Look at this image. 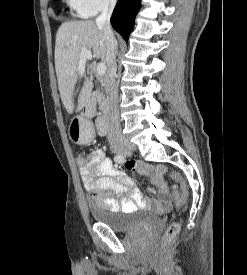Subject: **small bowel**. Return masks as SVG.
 <instances>
[{"mask_svg":"<svg viewBox=\"0 0 247 275\" xmlns=\"http://www.w3.org/2000/svg\"><path fill=\"white\" fill-rule=\"evenodd\" d=\"M137 173L148 175L149 168L142 162H137ZM166 169L159 165L156 174L151 175V181L157 189L160 199L157 205L160 209H168L172 204L168 186L163 179ZM84 188L88 191L94 205L115 212H130L146 205L134 181L112 162L103 149H95L87 164L80 167ZM127 192L130 200H121L119 194Z\"/></svg>","mask_w":247,"mask_h":275,"instance_id":"c3829d8e","label":"small bowel"}]
</instances>
